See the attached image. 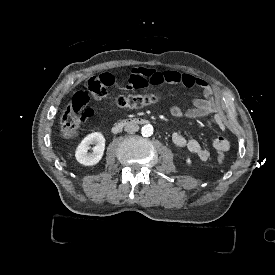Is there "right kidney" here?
<instances>
[{"mask_svg":"<svg viewBox=\"0 0 275 275\" xmlns=\"http://www.w3.org/2000/svg\"><path fill=\"white\" fill-rule=\"evenodd\" d=\"M95 144V146L92 148L93 152L88 153L89 145ZM105 149V138L100 132H94L89 135H87L81 143L78 145L75 157L76 160L85 165H95L97 164L104 153Z\"/></svg>","mask_w":275,"mask_h":275,"instance_id":"obj_1","label":"right kidney"}]
</instances>
